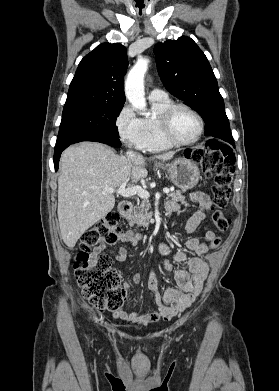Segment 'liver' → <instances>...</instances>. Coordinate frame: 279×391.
Instances as JSON below:
<instances>
[{"mask_svg": "<svg viewBox=\"0 0 279 391\" xmlns=\"http://www.w3.org/2000/svg\"><path fill=\"white\" fill-rule=\"evenodd\" d=\"M174 152L155 156L170 160ZM141 155L119 156L111 148L94 142L68 147L61 156L58 178V220L64 243L73 248L87 229L105 218L115 197L103 188H117L147 176Z\"/></svg>", "mask_w": 279, "mask_h": 391, "instance_id": "obj_1", "label": "liver"}]
</instances>
